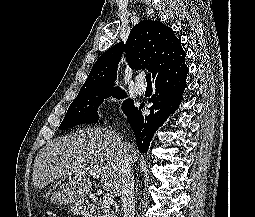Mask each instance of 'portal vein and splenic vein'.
I'll return each instance as SVG.
<instances>
[{
	"instance_id": "18ae733b",
	"label": "portal vein and splenic vein",
	"mask_w": 255,
	"mask_h": 217,
	"mask_svg": "<svg viewBox=\"0 0 255 217\" xmlns=\"http://www.w3.org/2000/svg\"><path fill=\"white\" fill-rule=\"evenodd\" d=\"M77 169L75 166H72L68 169V172L67 174L68 175H72V172L73 170ZM91 176H93L94 178H97L99 179V175L97 173H94V172H89ZM103 203L105 206H110L114 203V196L109 193V192H106L104 195H103Z\"/></svg>"
}]
</instances>
